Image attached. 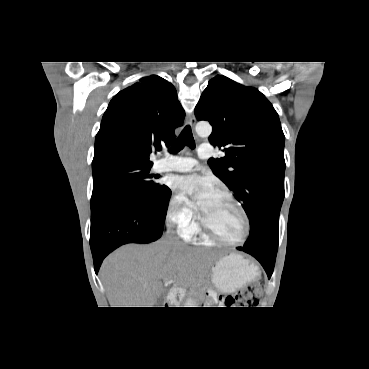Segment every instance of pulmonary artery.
<instances>
[{"label":"pulmonary artery","mask_w":369,"mask_h":369,"mask_svg":"<svg viewBox=\"0 0 369 369\" xmlns=\"http://www.w3.org/2000/svg\"><path fill=\"white\" fill-rule=\"evenodd\" d=\"M198 156L201 159H209L213 156V148L209 144H201L198 149ZM197 161L191 157L170 156L157 164L158 171H190Z\"/></svg>","instance_id":"pulmonary-artery-1"}]
</instances>
